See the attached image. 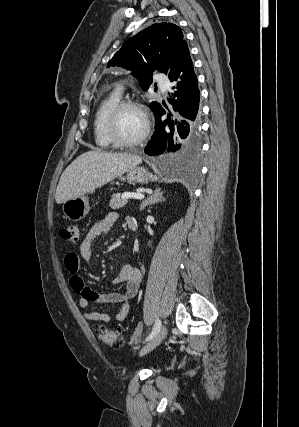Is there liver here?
<instances>
[{
	"mask_svg": "<svg viewBox=\"0 0 299 427\" xmlns=\"http://www.w3.org/2000/svg\"><path fill=\"white\" fill-rule=\"evenodd\" d=\"M142 163L137 155L87 151L62 173L56 192L57 204L85 195Z\"/></svg>",
	"mask_w": 299,
	"mask_h": 427,
	"instance_id": "obj_1",
	"label": "liver"
}]
</instances>
